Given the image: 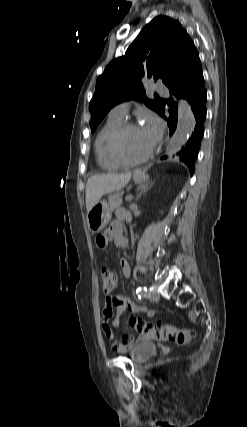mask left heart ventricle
Returning a JSON list of instances; mask_svg holds the SVG:
<instances>
[{"label": "left heart ventricle", "instance_id": "1", "mask_svg": "<svg viewBox=\"0 0 247 427\" xmlns=\"http://www.w3.org/2000/svg\"><path fill=\"white\" fill-rule=\"evenodd\" d=\"M151 147L152 144L139 127L130 130L125 136L124 151L132 159L143 156Z\"/></svg>", "mask_w": 247, "mask_h": 427}]
</instances>
